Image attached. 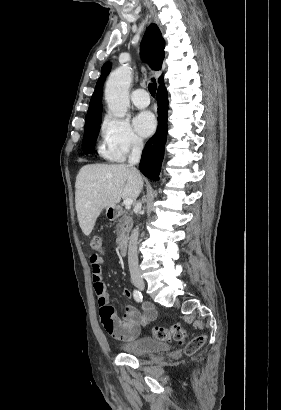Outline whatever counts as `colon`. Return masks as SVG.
Segmentation results:
<instances>
[{
    "mask_svg": "<svg viewBox=\"0 0 281 410\" xmlns=\"http://www.w3.org/2000/svg\"><path fill=\"white\" fill-rule=\"evenodd\" d=\"M91 248L94 251L103 250V241L99 236H95L92 238ZM112 314V310L102 311V315L105 317L103 325L106 331L111 330L112 328V322L110 321V317L112 316ZM152 335L154 336V338L164 342L182 343L186 339V330L180 324H173L168 327L154 326L152 328ZM205 340V335H198L194 337L186 344L185 353L187 355L195 354L204 345Z\"/></svg>",
    "mask_w": 281,
    "mask_h": 410,
    "instance_id": "colon-1",
    "label": "colon"
}]
</instances>
